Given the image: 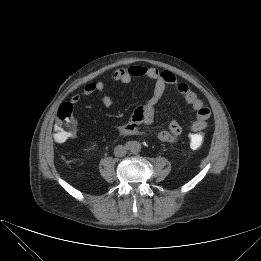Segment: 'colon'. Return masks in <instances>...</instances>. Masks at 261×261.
<instances>
[{
    "instance_id": "colon-1",
    "label": "colon",
    "mask_w": 261,
    "mask_h": 261,
    "mask_svg": "<svg viewBox=\"0 0 261 261\" xmlns=\"http://www.w3.org/2000/svg\"><path fill=\"white\" fill-rule=\"evenodd\" d=\"M76 117L73 112V106L70 103L62 104L57 112V118L54 125V139L58 142H64L72 137L76 130ZM204 134L202 131L192 132L189 135V146L193 150L200 149L204 143Z\"/></svg>"
}]
</instances>
